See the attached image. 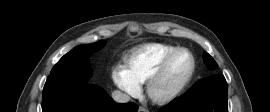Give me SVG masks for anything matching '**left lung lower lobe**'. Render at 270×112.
<instances>
[{"label":"left lung lower lobe","instance_id":"left-lung-lower-lobe-1","mask_svg":"<svg viewBox=\"0 0 270 112\" xmlns=\"http://www.w3.org/2000/svg\"><path fill=\"white\" fill-rule=\"evenodd\" d=\"M227 92L224 76L213 75L195 84L160 112H228Z\"/></svg>","mask_w":270,"mask_h":112}]
</instances>
